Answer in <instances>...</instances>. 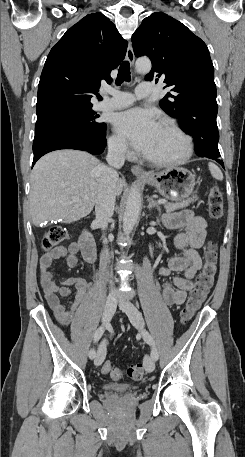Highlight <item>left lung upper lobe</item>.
<instances>
[{
	"label": "left lung upper lobe",
	"instance_id": "5c2ea615",
	"mask_svg": "<svg viewBox=\"0 0 245 457\" xmlns=\"http://www.w3.org/2000/svg\"><path fill=\"white\" fill-rule=\"evenodd\" d=\"M136 57L148 56L152 70L146 80H163L171 93L160 107L181 122L207 114L216 117L214 67L205 43L184 24L163 12L144 18L132 35Z\"/></svg>",
	"mask_w": 245,
	"mask_h": 457
}]
</instances>
